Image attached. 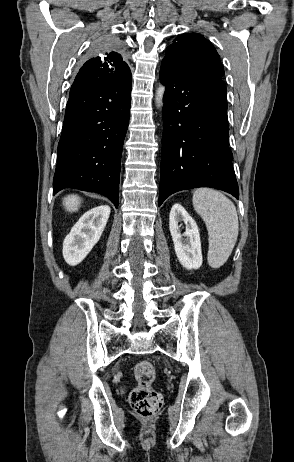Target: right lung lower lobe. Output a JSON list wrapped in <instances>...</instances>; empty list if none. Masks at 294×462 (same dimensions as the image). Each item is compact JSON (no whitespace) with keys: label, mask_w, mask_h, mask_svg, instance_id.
Wrapping results in <instances>:
<instances>
[{"label":"right lung lower lobe","mask_w":294,"mask_h":462,"mask_svg":"<svg viewBox=\"0 0 294 462\" xmlns=\"http://www.w3.org/2000/svg\"><path fill=\"white\" fill-rule=\"evenodd\" d=\"M131 89L129 74L111 85L69 95L58 144L53 195L64 188L97 192L118 207Z\"/></svg>","instance_id":"obj_1"}]
</instances>
